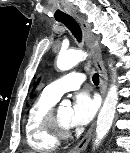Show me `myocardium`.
Wrapping results in <instances>:
<instances>
[{
	"mask_svg": "<svg viewBox=\"0 0 130 153\" xmlns=\"http://www.w3.org/2000/svg\"><path fill=\"white\" fill-rule=\"evenodd\" d=\"M45 125L58 138H67L71 133V126H65L61 123L57 108L54 106L45 116Z\"/></svg>",
	"mask_w": 130,
	"mask_h": 153,
	"instance_id": "f54148a6",
	"label": "myocardium"
}]
</instances>
